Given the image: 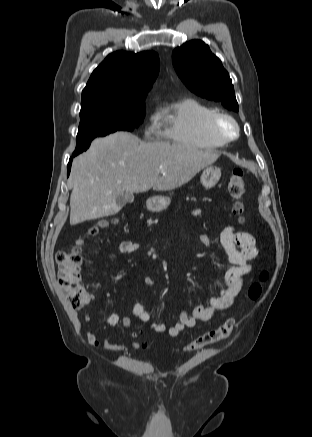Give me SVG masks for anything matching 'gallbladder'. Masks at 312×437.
<instances>
[{"label": "gallbladder", "instance_id": "bac80fb5", "mask_svg": "<svg viewBox=\"0 0 312 437\" xmlns=\"http://www.w3.org/2000/svg\"><path fill=\"white\" fill-rule=\"evenodd\" d=\"M132 194H127L126 198L118 197L116 207L111 211V215L116 214L127 202H133Z\"/></svg>", "mask_w": 312, "mask_h": 437}]
</instances>
